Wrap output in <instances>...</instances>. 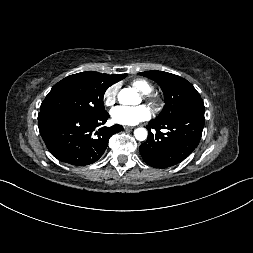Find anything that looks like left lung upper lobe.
Listing matches in <instances>:
<instances>
[{
    "label": "left lung upper lobe",
    "instance_id": "obj_1",
    "mask_svg": "<svg viewBox=\"0 0 253 253\" xmlns=\"http://www.w3.org/2000/svg\"><path fill=\"white\" fill-rule=\"evenodd\" d=\"M139 74L154 80L163 90L165 106L154 119L156 121L169 120L195 104L203 102L194 86L180 76L163 71H146Z\"/></svg>",
    "mask_w": 253,
    "mask_h": 253
}]
</instances>
